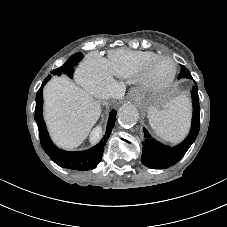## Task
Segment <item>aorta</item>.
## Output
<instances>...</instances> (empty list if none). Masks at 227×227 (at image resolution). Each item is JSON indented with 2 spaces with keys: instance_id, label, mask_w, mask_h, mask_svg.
<instances>
[{
  "instance_id": "1",
  "label": "aorta",
  "mask_w": 227,
  "mask_h": 227,
  "mask_svg": "<svg viewBox=\"0 0 227 227\" xmlns=\"http://www.w3.org/2000/svg\"><path fill=\"white\" fill-rule=\"evenodd\" d=\"M139 118L137 109L130 104L123 105L118 112V122L126 128L133 127Z\"/></svg>"
}]
</instances>
